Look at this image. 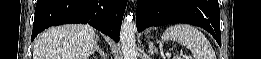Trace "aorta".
I'll list each match as a JSON object with an SVG mask.
<instances>
[{
	"label": "aorta",
	"mask_w": 261,
	"mask_h": 59,
	"mask_svg": "<svg viewBox=\"0 0 261 59\" xmlns=\"http://www.w3.org/2000/svg\"><path fill=\"white\" fill-rule=\"evenodd\" d=\"M135 33L136 24L133 16L131 14L127 15L122 22L120 31V42L124 59H137Z\"/></svg>",
	"instance_id": "obj_1"
}]
</instances>
